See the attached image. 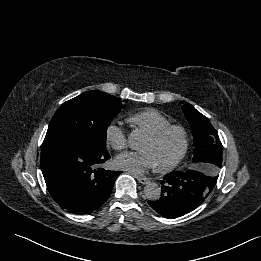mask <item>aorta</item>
I'll return each instance as SVG.
<instances>
[{
	"instance_id": "1",
	"label": "aorta",
	"mask_w": 261,
	"mask_h": 261,
	"mask_svg": "<svg viewBox=\"0 0 261 261\" xmlns=\"http://www.w3.org/2000/svg\"><path fill=\"white\" fill-rule=\"evenodd\" d=\"M145 141L144 133L139 130H133L128 136V143L131 149L137 150L139 149ZM144 194L147 199L151 201H156L160 198L161 195V187L156 183H148L144 187Z\"/></svg>"
}]
</instances>
